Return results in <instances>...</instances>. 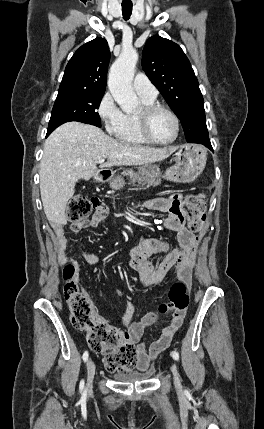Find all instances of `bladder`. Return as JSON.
<instances>
[{"label":"bladder","mask_w":264,"mask_h":429,"mask_svg":"<svg viewBox=\"0 0 264 429\" xmlns=\"http://www.w3.org/2000/svg\"><path fill=\"white\" fill-rule=\"evenodd\" d=\"M154 374V370H147L145 372H137L132 374H117L115 379L121 382H135V381H144L150 379Z\"/></svg>","instance_id":"31cf9c89"}]
</instances>
